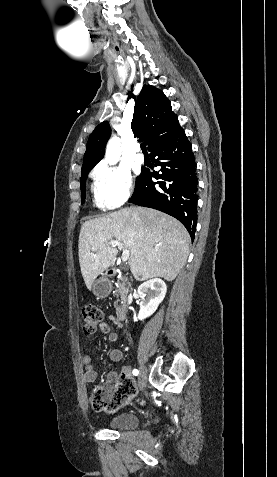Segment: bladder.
Masks as SVG:
<instances>
[{
    "mask_svg": "<svg viewBox=\"0 0 277 477\" xmlns=\"http://www.w3.org/2000/svg\"><path fill=\"white\" fill-rule=\"evenodd\" d=\"M139 419L133 413H123L108 422L111 429L124 430L132 429L138 425Z\"/></svg>",
    "mask_w": 277,
    "mask_h": 477,
    "instance_id": "obj_1",
    "label": "bladder"
}]
</instances>
